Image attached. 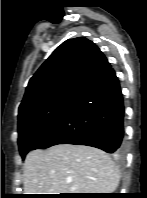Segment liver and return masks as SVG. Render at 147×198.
I'll return each mask as SVG.
<instances>
[{
    "label": "liver",
    "instance_id": "liver-1",
    "mask_svg": "<svg viewBox=\"0 0 147 198\" xmlns=\"http://www.w3.org/2000/svg\"><path fill=\"white\" fill-rule=\"evenodd\" d=\"M23 177L25 194L112 193L120 180L107 153L72 144L29 152Z\"/></svg>",
    "mask_w": 147,
    "mask_h": 198
}]
</instances>
